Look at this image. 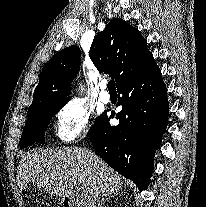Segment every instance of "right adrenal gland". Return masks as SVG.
I'll use <instances>...</instances> for the list:
<instances>
[{
  "instance_id": "obj_1",
  "label": "right adrenal gland",
  "mask_w": 206,
  "mask_h": 207,
  "mask_svg": "<svg viewBox=\"0 0 206 207\" xmlns=\"http://www.w3.org/2000/svg\"><path fill=\"white\" fill-rule=\"evenodd\" d=\"M117 195H119V193H115L114 195H109V196H107V197H105V198H102V200L99 202V204H98V207H103V205H104V202L106 201V200H108V199H110V198H112V197H114V196H117Z\"/></svg>"
}]
</instances>
